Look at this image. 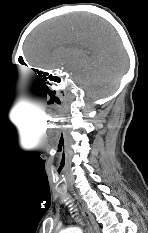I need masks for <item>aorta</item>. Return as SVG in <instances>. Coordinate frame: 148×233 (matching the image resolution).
Instances as JSON below:
<instances>
[{
  "label": "aorta",
  "mask_w": 148,
  "mask_h": 233,
  "mask_svg": "<svg viewBox=\"0 0 148 233\" xmlns=\"http://www.w3.org/2000/svg\"><path fill=\"white\" fill-rule=\"evenodd\" d=\"M60 233H82L81 229L78 227L67 228L61 231Z\"/></svg>",
  "instance_id": "aorta-1"
}]
</instances>
